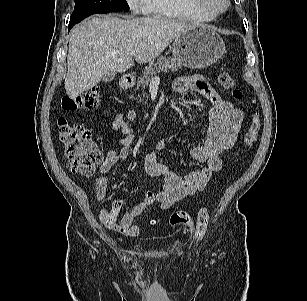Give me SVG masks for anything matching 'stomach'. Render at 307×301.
I'll list each match as a JSON object with an SVG mask.
<instances>
[{
    "label": "stomach",
    "mask_w": 307,
    "mask_h": 301,
    "mask_svg": "<svg viewBox=\"0 0 307 301\" xmlns=\"http://www.w3.org/2000/svg\"><path fill=\"white\" fill-rule=\"evenodd\" d=\"M226 52L223 39L207 26H193L174 40L172 53L180 65L201 69L217 62Z\"/></svg>",
    "instance_id": "stomach-1"
}]
</instances>
